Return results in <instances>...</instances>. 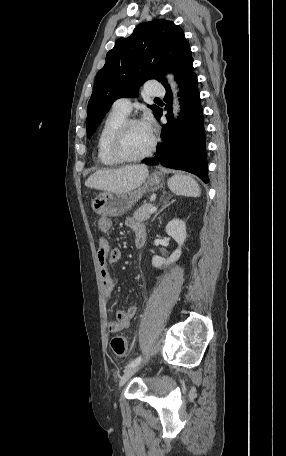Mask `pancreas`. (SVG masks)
Segmentation results:
<instances>
[{
    "label": "pancreas",
    "mask_w": 286,
    "mask_h": 456,
    "mask_svg": "<svg viewBox=\"0 0 286 456\" xmlns=\"http://www.w3.org/2000/svg\"><path fill=\"white\" fill-rule=\"evenodd\" d=\"M154 205L152 203H145L141 207H139L134 213H133V219H135L138 222H144L147 219L150 218V209Z\"/></svg>",
    "instance_id": "pancreas-1"
}]
</instances>
